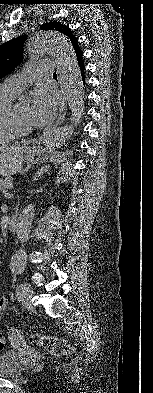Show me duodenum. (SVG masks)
Wrapping results in <instances>:
<instances>
[{
    "label": "duodenum",
    "instance_id": "410a0bca",
    "mask_svg": "<svg viewBox=\"0 0 153 393\" xmlns=\"http://www.w3.org/2000/svg\"><path fill=\"white\" fill-rule=\"evenodd\" d=\"M10 231H16L18 229V214H16L7 224Z\"/></svg>",
    "mask_w": 153,
    "mask_h": 393
}]
</instances>
